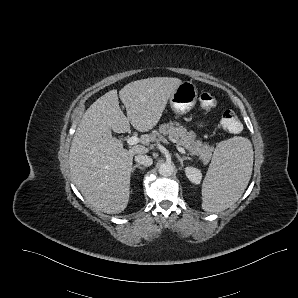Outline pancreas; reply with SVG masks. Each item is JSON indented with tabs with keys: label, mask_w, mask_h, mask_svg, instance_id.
Instances as JSON below:
<instances>
[{
	"label": "pancreas",
	"mask_w": 298,
	"mask_h": 298,
	"mask_svg": "<svg viewBox=\"0 0 298 298\" xmlns=\"http://www.w3.org/2000/svg\"><path fill=\"white\" fill-rule=\"evenodd\" d=\"M168 138H174L176 143L182 145L191 155L199 156L204 164H208L213 156L215 147L210 146L209 142L197 139V135L192 130H187L179 120L163 122L157 129L151 131L154 141L165 142Z\"/></svg>",
	"instance_id": "cf45deb5"
}]
</instances>
